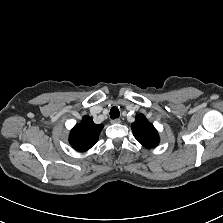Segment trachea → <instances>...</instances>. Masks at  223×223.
I'll return each instance as SVG.
<instances>
[{
  "mask_svg": "<svg viewBox=\"0 0 223 223\" xmlns=\"http://www.w3.org/2000/svg\"><path fill=\"white\" fill-rule=\"evenodd\" d=\"M120 116V112L117 107H112L110 110V117L112 119L118 118Z\"/></svg>",
  "mask_w": 223,
  "mask_h": 223,
  "instance_id": "1",
  "label": "trachea"
}]
</instances>
